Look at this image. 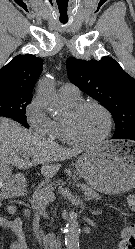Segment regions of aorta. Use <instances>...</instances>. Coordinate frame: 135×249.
Here are the masks:
<instances>
[{
  "mask_svg": "<svg viewBox=\"0 0 135 249\" xmlns=\"http://www.w3.org/2000/svg\"><path fill=\"white\" fill-rule=\"evenodd\" d=\"M38 99L51 109L59 106V96L50 79H43L37 90ZM80 228L76 217H71L65 227L66 249H79Z\"/></svg>",
  "mask_w": 135,
  "mask_h": 249,
  "instance_id": "1",
  "label": "aorta"
}]
</instances>
